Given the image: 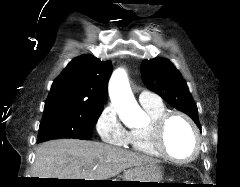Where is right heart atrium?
<instances>
[{"label":"right heart atrium","instance_id":"1","mask_svg":"<svg viewBox=\"0 0 240 187\" xmlns=\"http://www.w3.org/2000/svg\"><path fill=\"white\" fill-rule=\"evenodd\" d=\"M95 129L100 139L114 146H126L128 132L122 125L112 105L104 107L96 119Z\"/></svg>","mask_w":240,"mask_h":187}]
</instances>
